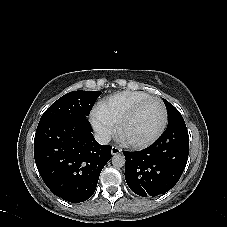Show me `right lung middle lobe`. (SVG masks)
Listing matches in <instances>:
<instances>
[{"label":"right lung middle lobe","mask_w":227,"mask_h":227,"mask_svg":"<svg viewBox=\"0 0 227 227\" xmlns=\"http://www.w3.org/2000/svg\"><path fill=\"white\" fill-rule=\"evenodd\" d=\"M101 93V91H72L67 93L43 113L41 120H84L89 116Z\"/></svg>","instance_id":"dd1d6c3e"}]
</instances>
